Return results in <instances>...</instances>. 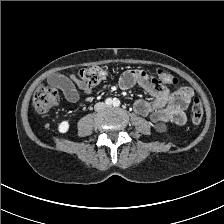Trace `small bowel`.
I'll return each instance as SVG.
<instances>
[{"instance_id": "obj_1", "label": "small bowel", "mask_w": 224, "mask_h": 224, "mask_svg": "<svg viewBox=\"0 0 224 224\" xmlns=\"http://www.w3.org/2000/svg\"><path fill=\"white\" fill-rule=\"evenodd\" d=\"M57 86L65 98L72 103L79 100L76 87L86 93H91V87L73 73L70 78L61 74L52 76L49 80ZM135 85L140 86L153 97L152 101L137 100L134 110L141 116L148 117L153 123L171 122L182 125L186 120V109L193 96V90L186 86H176L171 89L160 85L145 71L128 70L120 78L119 86L127 90Z\"/></svg>"}]
</instances>
